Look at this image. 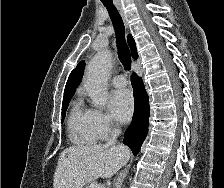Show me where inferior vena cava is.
<instances>
[{"label": "inferior vena cava", "instance_id": "1", "mask_svg": "<svg viewBox=\"0 0 224 188\" xmlns=\"http://www.w3.org/2000/svg\"><path fill=\"white\" fill-rule=\"evenodd\" d=\"M121 133L120 129L113 128L111 131V139L107 141L106 145L107 146H115L117 141V136ZM122 146V145H119Z\"/></svg>", "mask_w": 224, "mask_h": 188}]
</instances>
